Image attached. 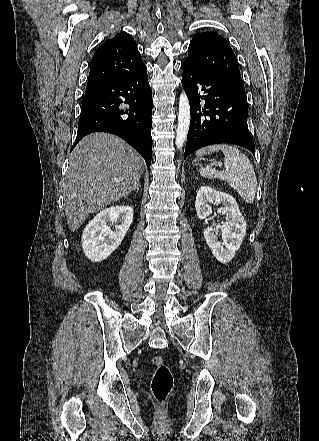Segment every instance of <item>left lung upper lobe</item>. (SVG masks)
<instances>
[{"label": "left lung upper lobe", "instance_id": "5c2ea615", "mask_svg": "<svg viewBox=\"0 0 319 441\" xmlns=\"http://www.w3.org/2000/svg\"><path fill=\"white\" fill-rule=\"evenodd\" d=\"M185 61L225 78L245 93L235 54L227 40L218 33L204 32L194 35Z\"/></svg>", "mask_w": 319, "mask_h": 441}]
</instances>
